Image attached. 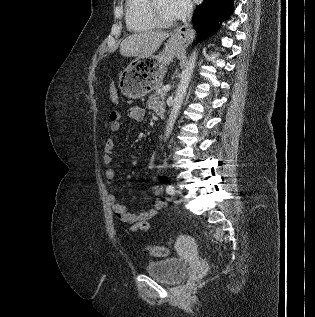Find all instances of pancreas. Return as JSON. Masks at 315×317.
I'll use <instances>...</instances> for the list:
<instances>
[{
	"instance_id": "1",
	"label": "pancreas",
	"mask_w": 315,
	"mask_h": 317,
	"mask_svg": "<svg viewBox=\"0 0 315 317\" xmlns=\"http://www.w3.org/2000/svg\"><path fill=\"white\" fill-rule=\"evenodd\" d=\"M166 96V92L163 91V86L159 85L158 87L155 88V91L153 92V94L151 95V99H164V97Z\"/></svg>"
}]
</instances>
